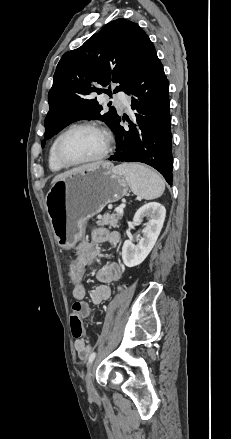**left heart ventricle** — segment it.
I'll return each mask as SVG.
<instances>
[{
    "mask_svg": "<svg viewBox=\"0 0 231 439\" xmlns=\"http://www.w3.org/2000/svg\"><path fill=\"white\" fill-rule=\"evenodd\" d=\"M105 146L103 134L94 129H79L63 140L64 155L73 161H80L100 154Z\"/></svg>",
    "mask_w": 231,
    "mask_h": 439,
    "instance_id": "1",
    "label": "left heart ventricle"
}]
</instances>
